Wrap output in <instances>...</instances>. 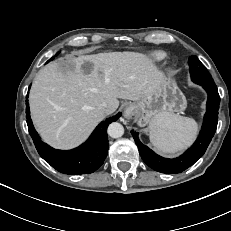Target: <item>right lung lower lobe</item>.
<instances>
[{
    "mask_svg": "<svg viewBox=\"0 0 231 231\" xmlns=\"http://www.w3.org/2000/svg\"><path fill=\"white\" fill-rule=\"evenodd\" d=\"M28 105V100H26L29 133L40 156L53 168L64 174L79 175L92 173L103 164L109 149L106 129L111 122L118 120L121 113L102 121L89 139L78 148L61 151L50 147L41 140L30 119Z\"/></svg>",
    "mask_w": 231,
    "mask_h": 231,
    "instance_id": "obj_1",
    "label": "right lung lower lobe"
}]
</instances>
